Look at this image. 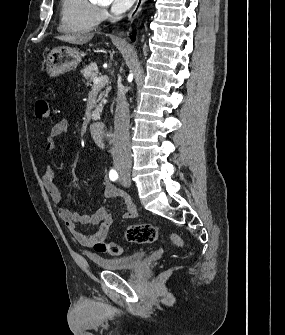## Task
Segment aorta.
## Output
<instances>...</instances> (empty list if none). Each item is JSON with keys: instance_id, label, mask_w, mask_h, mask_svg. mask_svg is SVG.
<instances>
[{"instance_id": "aorta-1", "label": "aorta", "mask_w": 285, "mask_h": 335, "mask_svg": "<svg viewBox=\"0 0 285 335\" xmlns=\"http://www.w3.org/2000/svg\"><path fill=\"white\" fill-rule=\"evenodd\" d=\"M120 95L124 96L125 92L121 91ZM98 134H108L109 137H114L117 134V127H98Z\"/></svg>"}]
</instances>
